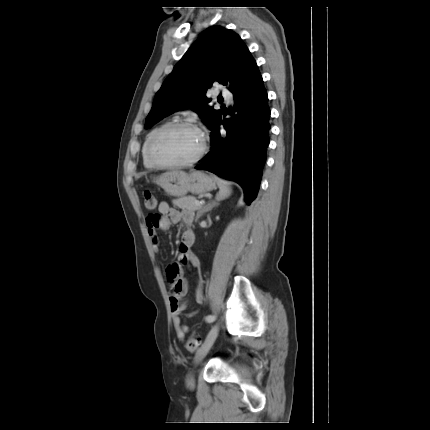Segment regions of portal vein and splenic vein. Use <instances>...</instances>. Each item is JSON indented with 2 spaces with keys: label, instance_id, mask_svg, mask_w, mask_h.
<instances>
[{
  "label": "portal vein and splenic vein",
  "instance_id": "obj_1",
  "mask_svg": "<svg viewBox=\"0 0 430 430\" xmlns=\"http://www.w3.org/2000/svg\"><path fill=\"white\" fill-rule=\"evenodd\" d=\"M195 204H196L197 206H202V205L204 204V202H201V201L196 200V201H195Z\"/></svg>",
  "mask_w": 430,
  "mask_h": 430
}]
</instances>
